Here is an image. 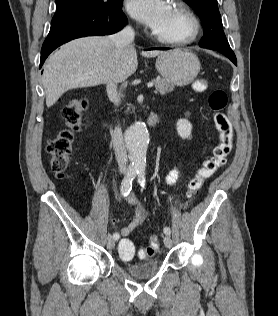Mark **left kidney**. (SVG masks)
Segmentation results:
<instances>
[{
	"label": "left kidney",
	"instance_id": "left-kidney-1",
	"mask_svg": "<svg viewBox=\"0 0 278 316\" xmlns=\"http://www.w3.org/2000/svg\"><path fill=\"white\" fill-rule=\"evenodd\" d=\"M176 126H177L178 135L182 139H187L191 135L192 125L188 120L180 119L177 121Z\"/></svg>",
	"mask_w": 278,
	"mask_h": 316
}]
</instances>
